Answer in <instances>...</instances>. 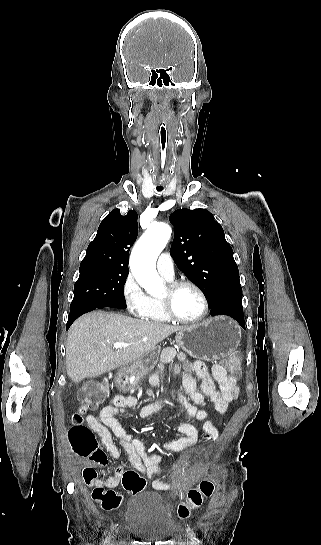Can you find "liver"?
<instances>
[{
	"instance_id": "obj_1",
	"label": "liver",
	"mask_w": 321,
	"mask_h": 545,
	"mask_svg": "<svg viewBox=\"0 0 321 545\" xmlns=\"http://www.w3.org/2000/svg\"><path fill=\"white\" fill-rule=\"evenodd\" d=\"M182 329L184 327L178 325L139 321L115 313H87L68 331L67 375L74 383H80L83 379H93L112 369L126 367ZM114 343H128L129 347L114 349Z\"/></svg>"
}]
</instances>
